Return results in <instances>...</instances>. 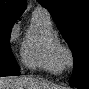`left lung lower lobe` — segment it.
I'll return each mask as SVG.
<instances>
[{
    "instance_id": "0a47b994",
    "label": "left lung lower lobe",
    "mask_w": 89,
    "mask_h": 89,
    "mask_svg": "<svg viewBox=\"0 0 89 89\" xmlns=\"http://www.w3.org/2000/svg\"><path fill=\"white\" fill-rule=\"evenodd\" d=\"M77 88H79V89H89L88 86H79Z\"/></svg>"
}]
</instances>
